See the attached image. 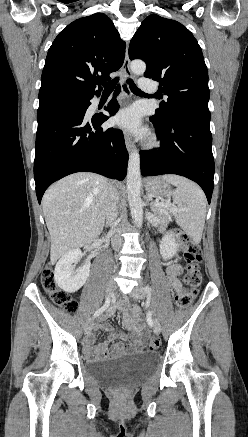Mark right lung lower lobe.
<instances>
[{
    "label": "right lung lower lobe",
    "instance_id": "98d812e1",
    "mask_svg": "<svg viewBox=\"0 0 248 437\" xmlns=\"http://www.w3.org/2000/svg\"><path fill=\"white\" fill-rule=\"evenodd\" d=\"M119 92L120 86L114 95ZM93 96H84L83 102L50 99L39 103L34 160L39 203L53 182L75 172H95L118 180L125 178L128 152L122 131L100 128L109 118L106 115L85 117ZM105 109L114 115L119 109L116 99Z\"/></svg>",
    "mask_w": 248,
    "mask_h": 437
}]
</instances>
